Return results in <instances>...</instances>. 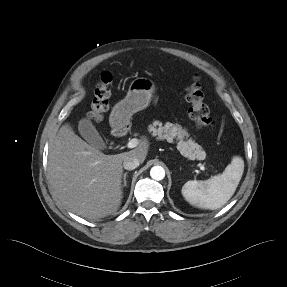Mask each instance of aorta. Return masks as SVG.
<instances>
[{"instance_id":"1","label":"aorta","mask_w":287,"mask_h":287,"mask_svg":"<svg viewBox=\"0 0 287 287\" xmlns=\"http://www.w3.org/2000/svg\"><path fill=\"white\" fill-rule=\"evenodd\" d=\"M150 176L152 179L160 181L165 177V170L161 166H154L150 170Z\"/></svg>"}]
</instances>
